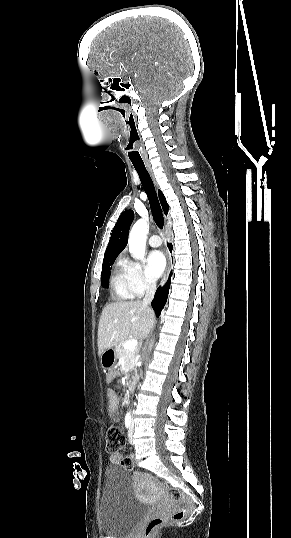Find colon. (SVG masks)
<instances>
[{
	"label": "colon",
	"mask_w": 291,
	"mask_h": 538,
	"mask_svg": "<svg viewBox=\"0 0 291 538\" xmlns=\"http://www.w3.org/2000/svg\"><path fill=\"white\" fill-rule=\"evenodd\" d=\"M125 444V436L117 426H110L106 431V450L110 454L118 453ZM121 465L126 470H133L134 462L130 457L121 460ZM171 496L180 503V507L168 515L152 516L143 529L144 538H151L157 530L167 521H179L191 510L190 501L177 490H171Z\"/></svg>",
	"instance_id": "obj_1"
}]
</instances>
